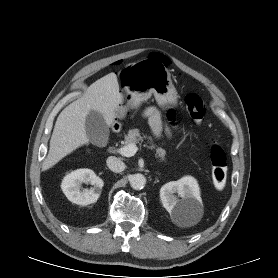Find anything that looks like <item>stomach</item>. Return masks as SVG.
I'll return each mask as SVG.
<instances>
[{
  "instance_id": "stomach-1",
  "label": "stomach",
  "mask_w": 278,
  "mask_h": 278,
  "mask_svg": "<svg viewBox=\"0 0 278 278\" xmlns=\"http://www.w3.org/2000/svg\"><path fill=\"white\" fill-rule=\"evenodd\" d=\"M121 79L129 100L127 105L119 109L118 117H122L129 108L137 107L151 95H154L162 109L177 101L171 75L166 65L157 59L148 58L132 64L122 70ZM166 132L170 134L167 128Z\"/></svg>"
}]
</instances>
